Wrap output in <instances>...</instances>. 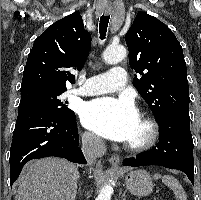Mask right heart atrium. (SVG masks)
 Returning <instances> with one entry per match:
<instances>
[{"mask_svg":"<svg viewBox=\"0 0 201 200\" xmlns=\"http://www.w3.org/2000/svg\"><path fill=\"white\" fill-rule=\"evenodd\" d=\"M83 143L86 147L93 150H100L102 147V141L95 134L91 132H84L82 135Z\"/></svg>","mask_w":201,"mask_h":200,"instance_id":"d8ad5b80","label":"right heart atrium"}]
</instances>
